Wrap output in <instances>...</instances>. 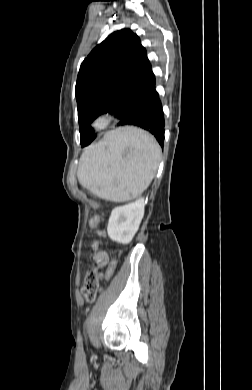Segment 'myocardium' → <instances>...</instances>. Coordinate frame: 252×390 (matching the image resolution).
<instances>
[{
    "label": "myocardium",
    "instance_id": "obj_1",
    "mask_svg": "<svg viewBox=\"0 0 252 390\" xmlns=\"http://www.w3.org/2000/svg\"><path fill=\"white\" fill-rule=\"evenodd\" d=\"M110 123L111 116L108 113H100L93 119L92 125L97 129H105Z\"/></svg>",
    "mask_w": 252,
    "mask_h": 390
}]
</instances>
